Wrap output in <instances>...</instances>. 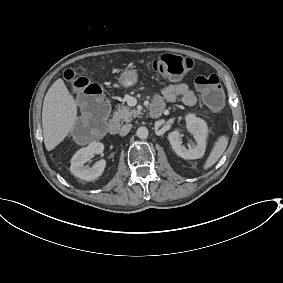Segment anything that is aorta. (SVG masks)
I'll list each match as a JSON object with an SVG mask.
<instances>
[{"label":"aorta","mask_w":283,"mask_h":283,"mask_svg":"<svg viewBox=\"0 0 283 283\" xmlns=\"http://www.w3.org/2000/svg\"><path fill=\"white\" fill-rule=\"evenodd\" d=\"M136 135L140 138V139H145L148 137L149 132L148 129L144 126H141L137 129L136 131Z\"/></svg>","instance_id":"762f6f07"}]
</instances>
